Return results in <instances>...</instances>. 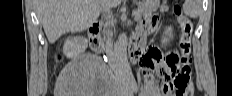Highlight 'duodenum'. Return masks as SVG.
I'll return each mask as SVG.
<instances>
[{"label": "duodenum", "instance_id": "1", "mask_svg": "<svg viewBox=\"0 0 232 96\" xmlns=\"http://www.w3.org/2000/svg\"><path fill=\"white\" fill-rule=\"evenodd\" d=\"M89 42H90V47L91 50L94 53L100 54L102 52V43L101 40L99 39V25L94 24L90 27L89 29ZM130 55L134 61H137L139 51L138 48L135 45H132V48L130 50Z\"/></svg>", "mask_w": 232, "mask_h": 96}]
</instances>
